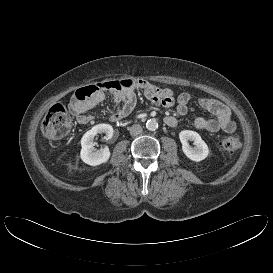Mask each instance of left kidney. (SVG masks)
<instances>
[{
    "label": "left kidney",
    "mask_w": 273,
    "mask_h": 273,
    "mask_svg": "<svg viewBox=\"0 0 273 273\" xmlns=\"http://www.w3.org/2000/svg\"><path fill=\"white\" fill-rule=\"evenodd\" d=\"M179 139L182 143V150L184 154L190 160L200 162L208 156V146L197 132L191 130H183L179 133ZM188 141H193L195 146L191 147Z\"/></svg>",
    "instance_id": "5707ae66"
}]
</instances>
